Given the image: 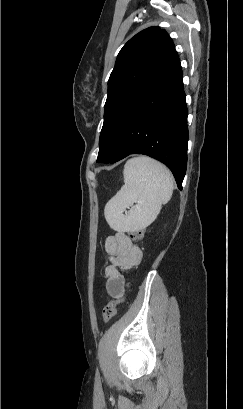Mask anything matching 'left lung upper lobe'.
<instances>
[{
  "label": "left lung upper lobe",
  "mask_w": 243,
  "mask_h": 409,
  "mask_svg": "<svg viewBox=\"0 0 243 409\" xmlns=\"http://www.w3.org/2000/svg\"><path fill=\"white\" fill-rule=\"evenodd\" d=\"M174 52L172 39L158 27L139 32L120 50L108 81L97 162L110 163L116 152L117 135L124 117Z\"/></svg>",
  "instance_id": "obj_1"
}]
</instances>
